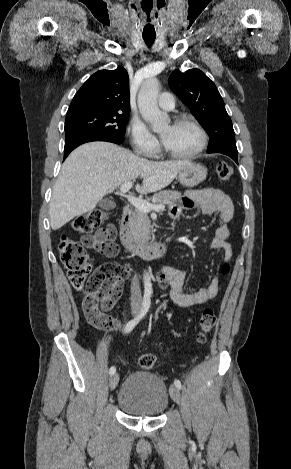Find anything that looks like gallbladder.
Listing matches in <instances>:
<instances>
[{"instance_id":"obj_1","label":"gallbladder","mask_w":291,"mask_h":469,"mask_svg":"<svg viewBox=\"0 0 291 469\" xmlns=\"http://www.w3.org/2000/svg\"><path fill=\"white\" fill-rule=\"evenodd\" d=\"M99 206H100L102 209L111 210V209H114V208H115L116 204H115L114 201H112V200L103 199V200L100 201Z\"/></svg>"}]
</instances>
